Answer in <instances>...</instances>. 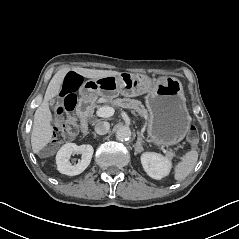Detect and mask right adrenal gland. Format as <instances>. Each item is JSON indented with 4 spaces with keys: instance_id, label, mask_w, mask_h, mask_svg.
<instances>
[{
    "instance_id": "obj_1",
    "label": "right adrenal gland",
    "mask_w": 239,
    "mask_h": 239,
    "mask_svg": "<svg viewBox=\"0 0 239 239\" xmlns=\"http://www.w3.org/2000/svg\"><path fill=\"white\" fill-rule=\"evenodd\" d=\"M92 134L94 135V138H97V134L95 132H92Z\"/></svg>"
}]
</instances>
